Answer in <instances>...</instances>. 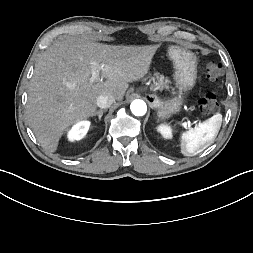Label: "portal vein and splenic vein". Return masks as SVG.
Returning <instances> with one entry per match:
<instances>
[{"instance_id":"1","label":"portal vein and splenic vein","mask_w":253,"mask_h":253,"mask_svg":"<svg viewBox=\"0 0 253 253\" xmlns=\"http://www.w3.org/2000/svg\"><path fill=\"white\" fill-rule=\"evenodd\" d=\"M100 77H99V73L98 71L96 70V68H93L92 69V76L90 78V82L93 83L95 82L96 80H98ZM190 126V121H185L184 122V127H189Z\"/></svg>"}]
</instances>
